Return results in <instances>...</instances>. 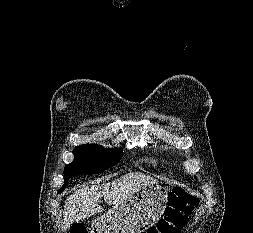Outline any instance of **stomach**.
<instances>
[{
  "mask_svg": "<svg viewBox=\"0 0 253 233\" xmlns=\"http://www.w3.org/2000/svg\"><path fill=\"white\" fill-rule=\"evenodd\" d=\"M168 191L154 184L132 194L93 222L95 233H142L162 216Z\"/></svg>",
  "mask_w": 253,
  "mask_h": 233,
  "instance_id": "stomach-1",
  "label": "stomach"
}]
</instances>
